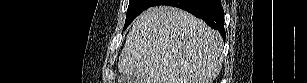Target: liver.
<instances>
[{"label": "liver", "instance_id": "obj_1", "mask_svg": "<svg viewBox=\"0 0 307 83\" xmlns=\"http://www.w3.org/2000/svg\"><path fill=\"white\" fill-rule=\"evenodd\" d=\"M223 40L203 20L173 6L139 15L118 70L136 83H212L222 68Z\"/></svg>", "mask_w": 307, "mask_h": 83}]
</instances>
